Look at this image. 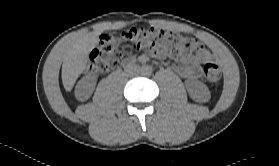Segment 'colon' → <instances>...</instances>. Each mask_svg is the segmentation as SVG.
<instances>
[{
	"instance_id": "obj_1",
	"label": "colon",
	"mask_w": 279,
	"mask_h": 166,
	"mask_svg": "<svg viewBox=\"0 0 279 166\" xmlns=\"http://www.w3.org/2000/svg\"><path fill=\"white\" fill-rule=\"evenodd\" d=\"M122 42L128 43L132 50L147 49L153 54L165 53L173 58L201 50L199 42L189 36L157 28H131L119 36L102 35L90 54L88 71L103 74L115 68L123 56L120 47ZM203 74L208 82L216 84L222 76L221 67L208 62L203 67Z\"/></svg>"
}]
</instances>
